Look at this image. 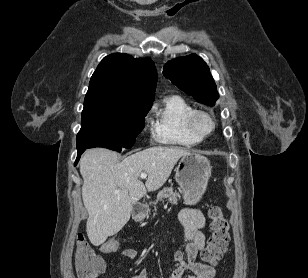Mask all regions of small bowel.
Instances as JSON below:
<instances>
[{
    "label": "small bowel",
    "mask_w": 308,
    "mask_h": 278,
    "mask_svg": "<svg viewBox=\"0 0 308 278\" xmlns=\"http://www.w3.org/2000/svg\"><path fill=\"white\" fill-rule=\"evenodd\" d=\"M179 220L183 226L182 247L173 252L176 267L169 278H183L185 272L189 273L187 278H214L213 266L198 261V255L205 248L206 243L202 231L206 223L203 213L195 208H184L179 213ZM138 255V251L132 248H126L119 252V256L126 261H132ZM185 258L187 262H185ZM132 278H148L147 269H141Z\"/></svg>",
    "instance_id": "1"
}]
</instances>
